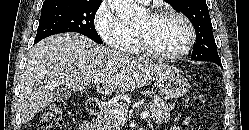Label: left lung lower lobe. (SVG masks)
<instances>
[{
  "mask_svg": "<svg viewBox=\"0 0 249 130\" xmlns=\"http://www.w3.org/2000/svg\"><path fill=\"white\" fill-rule=\"evenodd\" d=\"M214 63H216L217 65H219L222 69H223V67H222V64H221V61L220 60H217V61H213Z\"/></svg>",
  "mask_w": 249,
  "mask_h": 130,
  "instance_id": "left-lung-lower-lobe-1",
  "label": "left lung lower lobe"
}]
</instances>
